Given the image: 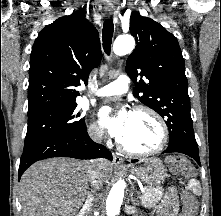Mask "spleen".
I'll return each mask as SVG.
<instances>
[{
    "label": "spleen",
    "mask_w": 221,
    "mask_h": 216,
    "mask_svg": "<svg viewBox=\"0 0 221 216\" xmlns=\"http://www.w3.org/2000/svg\"><path fill=\"white\" fill-rule=\"evenodd\" d=\"M189 185L195 194H199V182L198 181L193 179L190 181Z\"/></svg>",
    "instance_id": "1"
}]
</instances>
